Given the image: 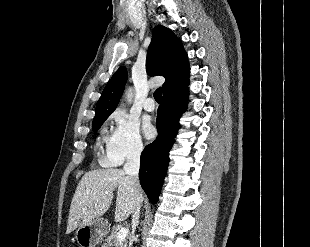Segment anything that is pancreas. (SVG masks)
<instances>
[{"mask_svg":"<svg viewBox=\"0 0 310 247\" xmlns=\"http://www.w3.org/2000/svg\"><path fill=\"white\" fill-rule=\"evenodd\" d=\"M102 247H127V241H117V232L112 230L111 234L104 240Z\"/></svg>","mask_w":310,"mask_h":247,"instance_id":"obj_1","label":"pancreas"}]
</instances>
